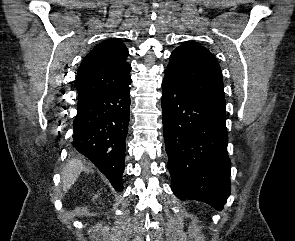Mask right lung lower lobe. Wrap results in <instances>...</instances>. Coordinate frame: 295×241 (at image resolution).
Returning <instances> with one entry per match:
<instances>
[{"label": "right lung lower lobe", "mask_w": 295, "mask_h": 241, "mask_svg": "<svg viewBox=\"0 0 295 241\" xmlns=\"http://www.w3.org/2000/svg\"><path fill=\"white\" fill-rule=\"evenodd\" d=\"M131 81L80 98L73 122L72 145L89 158L119 192L124 172Z\"/></svg>", "instance_id": "1"}]
</instances>
